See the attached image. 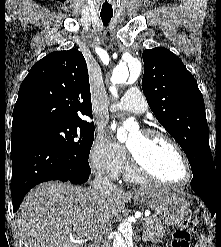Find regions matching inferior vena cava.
<instances>
[{
  "label": "inferior vena cava",
  "instance_id": "1",
  "mask_svg": "<svg viewBox=\"0 0 221 247\" xmlns=\"http://www.w3.org/2000/svg\"><path fill=\"white\" fill-rule=\"evenodd\" d=\"M116 185L112 183L107 176L100 172L95 173V179L92 182V190L96 192L101 198L106 197L116 189ZM108 236V235H107ZM107 236L99 238L97 247H110Z\"/></svg>",
  "mask_w": 221,
  "mask_h": 247
}]
</instances>
